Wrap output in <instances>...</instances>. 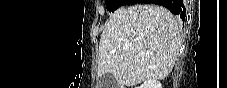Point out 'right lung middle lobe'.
<instances>
[{
	"instance_id": "obj_1",
	"label": "right lung middle lobe",
	"mask_w": 227,
	"mask_h": 88,
	"mask_svg": "<svg viewBox=\"0 0 227 88\" xmlns=\"http://www.w3.org/2000/svg\"><path fill=\"white\" fill-rule=\"evenodd\" d=\"M106 7L109 12H113L122 5L133 4L134 0H106Z\"/></svg>"
}]
</instances>
